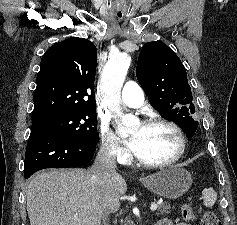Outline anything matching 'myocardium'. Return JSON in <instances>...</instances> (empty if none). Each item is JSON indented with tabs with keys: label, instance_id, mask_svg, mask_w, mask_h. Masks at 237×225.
<instances>
[{
	"label": "myocardium",
	"instance_id": "myocardium-1",
	"mask_svg": "<svg viewBox=\"0 0 237 225\" xmlns=\"http://www.w3.org/2000/svg\"><path fill=\"white\" fill-rule=\"evenodd\" d=\"M144 126H166L170 129H172L174 131V133L177 136L178 139V150L175 153L174 156H172L171 158L164 160V161H159V162H150V161H146L140 157H138L135 154V160L137 161L138 164L144 166V167H148V168H162V167H167L170 166L174 163H176L178 160H180V158L183 156L185 150H186V138L185 135L182 131V129L173 121L164 119V118H152L149 119L147 121H145L143 123Z\"/></svg>",
	"mask_w": 237,
	"mask_h": 225
}]
</instances>
